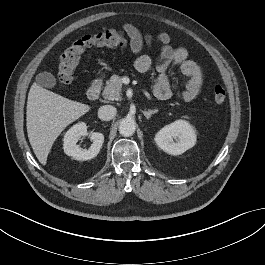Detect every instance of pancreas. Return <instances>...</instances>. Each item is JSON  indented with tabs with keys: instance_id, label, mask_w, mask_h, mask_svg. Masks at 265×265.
<instances>
[{
	"instance_id": "obj_1",
	"label": "pancreas",
	"mask_w": 265,
	"mask_h": 265,
	"mask_svg": "<svg viewBox=\"0 0 265 265\" xmlns=\"http://www.w3.org/2000/svg\"><path fill=\"white\" fill-rule=\"evenodd\" d=\"M122 77L118 75H112L103 90V97L107 100H121L122 91Z\"/></svg>"
}]
</instances>
